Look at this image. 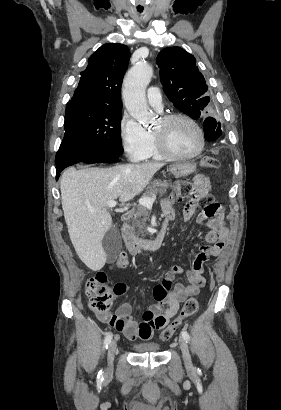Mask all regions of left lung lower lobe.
Instances as JSON below:
<instances>
[{
	"instance_id": "left-lung-lower-lobe-1",
	"label": "left lung lower lobe",
	"mask_w": 281,
	"mask_h": 410,
	"mask_svg": "<svg viewBox=\"0 0 281 410\" xmlns=\"http://www.w3.org/2000/svg\"><path fill=\"white\" fill-rule=\"evenodd\" d=\"M220 124L212 117H207L204 121L203 128L205 132V138L207 141L217 139L220 135H217Z\"/></svg>"
}]
</instances>
